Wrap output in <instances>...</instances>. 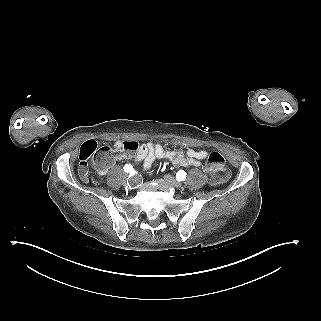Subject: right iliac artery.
<instances>
[{
	"label": "right iliac artery",
	"instance_id": "right-iliac-artery-1",
	"mask_svg": "<svg viewBox=\"0 0 321 321\" xmlns=\"http://www.w3.org/2000/svg\"><path fill=\"white\" fill-rule=\"evenodd\" d=\"M133 170V166H131L130 164H126L125 166H124V171L125 172H131Z\"/></svg>",
	"mask_w": 321,
	"mask_h": 321
}]
</instances>
